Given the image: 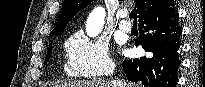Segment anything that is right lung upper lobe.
<instances>
[{"label": "right lung upper lobe", "mask_w": 205, "mask_h": 87, "mask_svg": "<svg viewBox=\"0 0 205 87\" xmlns=\"http://www.w3.org/2000/svg\"><path fill=\"white\" fill-rule=\"evenodd\" d=\"M91 1L92 0H64L57 25L51 33L53 35H59L73 16L81 9L85 8ZM161 1L163 0H136V8L139 18L144 13L158 5Z\"/></svg>", "instance_id": "obj_1"}]
</instances>
